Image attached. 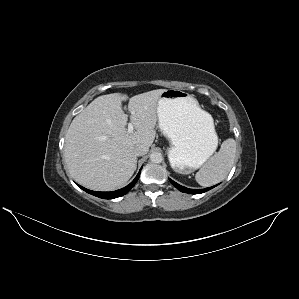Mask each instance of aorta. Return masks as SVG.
Listing matches in <instances>:
<instances>
[{"instance_id":"762f6f07","label":"aorta","mask_w":299,"mask_h":299,"mask_svg":"<svg viewBox=\"0 0 299 299\" xmlns=\"http://www.w3.org/2000/svg\"><path fill=\"white\" fill-rule=\"evenodd\" d=\"M163 160V156L159 152H154L150 155V161L154 164H159Z\"/></svg>"}]
</instances>
